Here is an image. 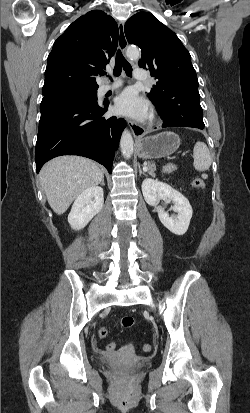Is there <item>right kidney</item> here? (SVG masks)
Returning <instances> with one entry per match:
<instances>
[{"label": "right kidney", "mask_w": 250, "mask_h": 413, "mask_svg": "<svg viewBox=\"0 0 250 413\" xmlns=\"http://www.w3.org/2000/svg\"><path fill=\"white\" fill-rule=\"evenodd\" d=\"M103 189L94 186L83 191L72 205L68 222L74 230L84 228L103 208Z\"/></svg>", "instance_id": "ca27d5eb"}]
</instances>
